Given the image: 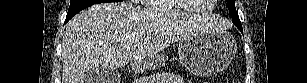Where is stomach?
<instances>
[{
    "instance_id": "stomach-1",
    "label": "stomach",
    "mask_w": 307,
    "mask_h": 83,
    "mask_svg": "<svg viewBox=\"0 0 307 83\" xmlns=\"http://www.w3.org/2000/svg\"><path fill=\"white\" fill-rule=\"evenodd\" d=\"M236 42L231 34L224 31H212L196 34L179 41L180 63L186 70L197 76H212L225 68L236 53ZM164 63L161 56L147 60L135 68H159Z\"/></svg>"
}]
</instances>
